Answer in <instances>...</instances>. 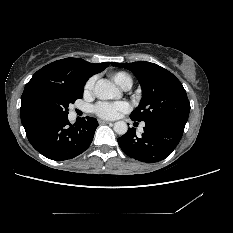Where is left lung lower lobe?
<instances>
[{"label":"left lung lower lobe","mask_w":233,"mask_h":233,"mask_svg":"<svg viewBox=\"0 0 233 233\" xmlns=\"http://www.w3.org/2000/svg\"><path fill=\"white\" fill-rule=\"evenodd\" d=\"M183 131L182 126L145 122L141 137H137L135 129L130 128L126 134L118 138V143L129 157L153 163L165 159L173 152L182 138Z\"/></svg>","instance_id":"left-lung-lower-lobe-1"}]
</instances>
